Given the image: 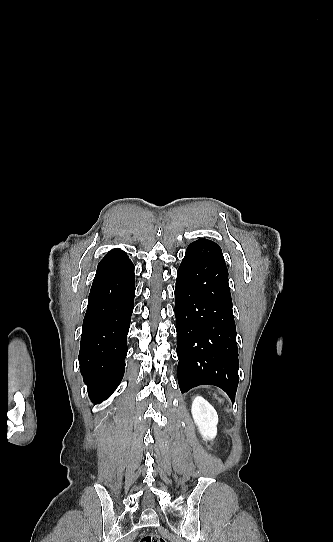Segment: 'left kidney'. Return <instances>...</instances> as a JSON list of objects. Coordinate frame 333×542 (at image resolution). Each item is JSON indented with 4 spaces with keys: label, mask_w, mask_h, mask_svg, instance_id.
Here are the masks:
<instances>
[{
    "label": "left kidney",
    "mask_w": 333,
    "mask_h": 542,
    "mask_svg": "<svg viewBox=\"0 0 333 542\" xmlns=\"http://www.w3.org/2000/svg\"><path fill=\"white\" fill-rule=\"evenodd\" d=\"M191 412L201 436L205 440H214L217 436L218 416L213 406L201 396H196Z\"/></svg>",
    "instance_id": "obj_1"
}]
</instances>
